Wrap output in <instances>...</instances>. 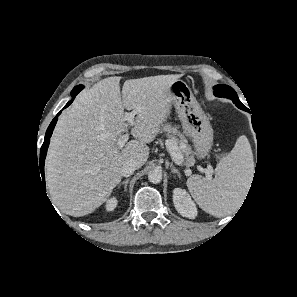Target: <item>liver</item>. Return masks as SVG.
Returning a JSON list of instances; mask_svg holds the SVG:
<instances>
[{
  "label": "liver",
  "mask_w": 297,
  "mask_h": 297,
  "mask_svg": "<svg viewBox=\"0 0 297 297\" xmlns=\"http://www.w3.org/2000/svg\"><path fill=\"white\" fill-rule=\"evenodd\" d=\"M181 75H158L124 82L108 77L84 91L58 120L46 158L50 199L67 215L92 213L121 181L126 161L138 167L171 112L170 85ZM124 109L137 110L132 123ZM132 126L135 139L124 147L118 138Z\"/></svg>",
  "instance_id": "6515ba94"
}]
</instances>
